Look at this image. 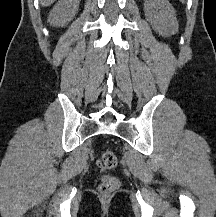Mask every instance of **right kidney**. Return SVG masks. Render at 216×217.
Returning <instances> with one entry per match:
<instances>
[{
	"mask_svg": "<svg viewBox=\"0 0 216 217\" xmlns=\"http://www.w3.org/2000/svg\"><path fill=\"white\" fill-rule=\"evenodd\" d=\"M78 7L79 0H59L51 10L48 22L53 26H64L74 18Z\"/></svg>",
	"mask_w": 216,
	"mask_h": 217,
	"instance_id": "ca27d5eb",
	"label": "right kidney"
}]
</instances>
